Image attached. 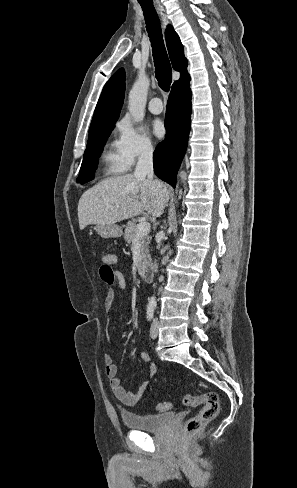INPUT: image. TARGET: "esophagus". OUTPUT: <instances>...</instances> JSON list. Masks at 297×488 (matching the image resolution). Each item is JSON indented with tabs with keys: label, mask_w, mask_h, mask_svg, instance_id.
<instances>
[{
	"label": "esophagus",
	"mask_w": 297,
	"mask_h": 488,
	"mask_svg": "<svg viewBox=\"0 0 297 488\" xmlns=\"http://www.w3.org/2000/svg\"><path fill=\"white\" fill-rule=\"evenodd\" d=\"M157 8H158V12L160 14L161 20H162V25H163L164 28H166L167 25H168V23H169V21H168V19L166 17L165 9H164V7L160 3H158V7Z\"/></svg>",
	"instance_id": "1"
}]
</instances>
